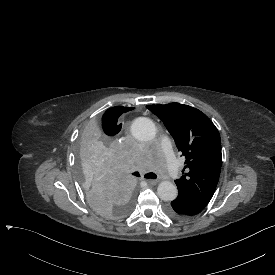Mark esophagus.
Returning <instances> with one entry per match:
<instances>
[{
  "label": "esophagus",
  "instance_id": "1",
  "mask_svg": "<svg viewBox=\"0 0 275 275\" xmlns=\"http://www.w3.org/2000/svg\"><path fill=\"white\" fill-rule=\"evenodd\" d=\"M146 182H147L149 185H156L159 181H158V180H155V179H146Z\"/></svg>",
  "mask_w": 275,
  "mask_h": 275
}]
</instances>
